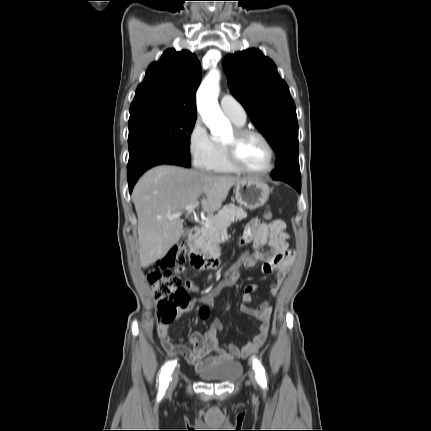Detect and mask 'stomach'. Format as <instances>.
Segmentation results:
<instances>
[{"mask_svg": "<svg viewBox=\"0 0 431 431\" xmlns=\"http://www.w3.org/2000/svg\"><path fill=\"white\" fill-rule=\"evenodd\" d=\"M269 193V186L257 178H245L235 185L236 201L252 210L263 206Z\"/></svg>", "mask_w": 431, "mask_h": 431, "instance_id": "obj_1", "label": "stomach"}]
</instances>
